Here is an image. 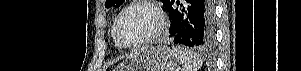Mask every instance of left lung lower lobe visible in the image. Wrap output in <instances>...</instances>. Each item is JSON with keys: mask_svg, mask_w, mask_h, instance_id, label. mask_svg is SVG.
<instances>
[{"mask_svg": "<svg viewBox=\"0 0 301 71\" xmlns=\"http://www.w3.org/2000/svg\"><path fill=\"white\" fill-rule=\"evenodd\" d=\"M168 0L164 5L171 19L170 36L176 44L206 48L214 42V12L211 0Z\"/></svg>", "mask_w": 301, "mask_h": 71, "instance_id": "1", "label": "left lung lower lobe"}]
</instances>
